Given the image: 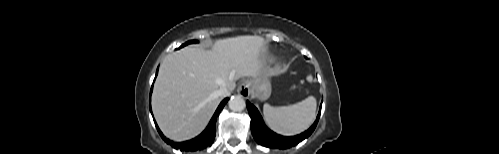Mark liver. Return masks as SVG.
<instances>
[{
	"instance_id": "obj_1",
	"label": "liver",
	"mask_w": 499,
	"mask_h": 154,
	"mask_svg": "<svg viewBox=\"0 0 499 154\" xmlns=\"http://www.w3.org/2000/svg\"><path fill=\"white\" fill-rule=\"evenodd\" d=\"M265 43L260 36H238L217 40L210 51L188 46L168 54L152 95L164 135L174 141L199 135L220 102V87L232 91L239 78L265 73Z\"/></svg>"
}]
</instances>
